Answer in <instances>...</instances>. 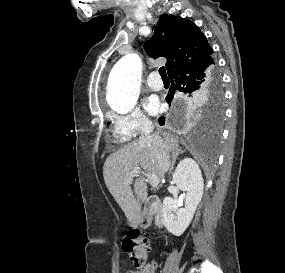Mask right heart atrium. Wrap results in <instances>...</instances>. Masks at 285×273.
I'll return each mask as SVG.
<instances>
[{
  "label": "right heart atrium",
  "instance_id": "1",
  "mask_svg": "<svg viewBox=\"0 0 285 273\" xmlns=\"http://www.w3.org/2000/svg\"><path fill=\"white\" fill-rule=\"evenodd\" d=\"M150 127V119L137 108L115 115V129L128 139L147 132Z\"/></svg>",
  "mask_w": 285,
  "mask_h": 273
}]
</instances>
